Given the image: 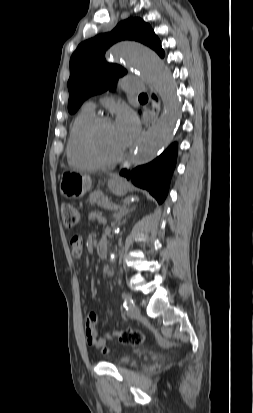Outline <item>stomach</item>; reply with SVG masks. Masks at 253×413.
I'll use <instances>...</instances> for the list:
<instances>
[{
	"label": "stomach",
	"mask_w": 253,
	"mask_h": 413,
	"mask_svg": "<svg viewBox=\"0 0 253 413\" xmlns=\"http://www.w3.org/2000/svg\"><path fill=\"white\" fill-rule=\"evenodd\" d=\"M91 178L83 173L65 171L61 175L60 192L67 198H80L91 189ZM110 191L123 196L128 191L127 184L122 179H112L108 182Z\"/></svg>",
	"instance_id": "0dacf381"
}]
</instances>
